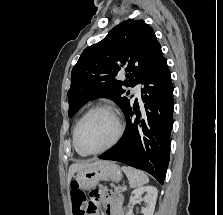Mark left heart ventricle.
I'll list each match as a JSON object with an SVG mask.
<instances>
[{
  "label": "left heart ventricle",
  "mask_w": 223,
  "mask_h": 215,
  "mask_svg": "<svg viewBox=\"0 0 223 215\" xmlns=\"http://www.w3.org/2000/svg\"><path fill=\"white\" fill-rule=\"evenodd\" d=\"M116 131L114 117L106 111H97L82 123L78 132V146L83 152L98 151L112 141Z\"/></svg>",
  "instance_id": "b2bd125f"
}]
</instances>
